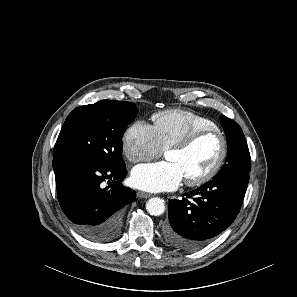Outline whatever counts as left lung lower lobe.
<instances>
[{
  "label": "left lung lower lobe",
  "instance_id": "0a47b994",
  "mask_svg": "<svg viewBox=\"0 0 297 297\" xmlns=\"http://www.w3.org/2000/svg\"><path fill=\"white\" fill-rule=\"evenodd\" d=\"M249 176H218L200 188L169 201L164 238L172 247L194 251L209 243L235 220Z\"/></svg>",
  "mask_w": 297,
  "mask_h": 297
}]
</instances>
